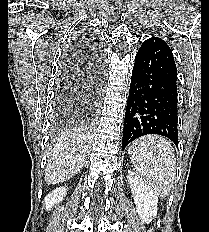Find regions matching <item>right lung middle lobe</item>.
I'll list each match as a JSON object with an SVG mask.
<instances>
[{"label": "right lung middle lobe", "instance_id": "dd1d6c3e", "mask_svg": "<svg viewBox=\"0 0 209 232\" xmlns=\"http://www.w3.org/2000/svg\"><path fill=\"white\" fill-rule=\"evenodd\" d=\"M62 90L64 89L62 88ZM63 93L65 92H61L62 96L58 99L55 106L56 114L54 123L59 129H62L68 125V121H71L69 118L72 114V105L70 104L68 97H65Z\"/></svg>", "mask_w": 209, "mask_h": 232}]
</instances>
